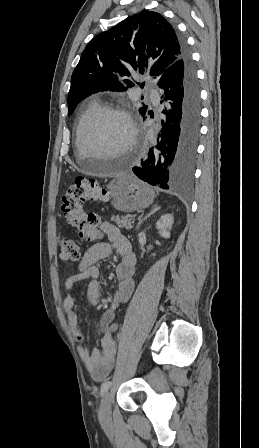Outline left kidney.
I'll return each instance as SVG.
<instances>
[{"label":"left kidney","mask_w":259,"mask_h":448,"mask_svg":"<svg viewBox=\"0 0 259 448\" xmlns=\"http://www.w3.org/2000/svg\"><path fill=\"white\" fill-rule=\"evenodd\" d=\"M173 224V216L172 214H165V216H161L160 220L156 222V228L159 230L160 236L162 238H170V232Z\"/></svg>","instance_id":"left-kidney-1"}]
</instances>
